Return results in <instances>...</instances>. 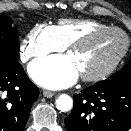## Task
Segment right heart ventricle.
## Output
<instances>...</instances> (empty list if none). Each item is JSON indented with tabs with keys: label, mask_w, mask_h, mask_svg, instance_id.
Returning <instances> with one entry per match:
<instances>
[{
	"label": "right heart ventricle",
	"mask_w": 131,
	"mask_h": 131,
	"mask_svg": "<svg viewBox=\"0 0 131 131\" xmlns=\"http://www.w3.org/2000/svg\"><path fill=\"white\" fill-rule=\"evenodd\" d=\"M108 25L94 19H61L53 26L60 42L66 47L81 35Z\"/></svg>",
	"instance_id": "e07e8e85"
}]
</instances>
